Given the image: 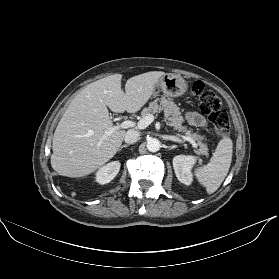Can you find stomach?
Here are the masks:
<instances>
[{
  "mask_svg": "<svg viewBox=\"0 0 279 279\" xmlns=\"http://www.w3.org/2000/svg\"><path fill=\"white\" fill-rule=\"evenodd\" d=\"M188 89L186 81L176 74H165L158 81L154 96H157L160 91H162L168 97H179L183 95Z\"/></svg>",
  "mask_w": 279,
  "mask_h": 279,
  "instance_id": "stomach-1",
  "label": "stomach"
}]
</instances>
